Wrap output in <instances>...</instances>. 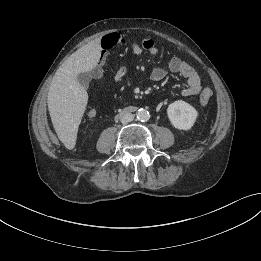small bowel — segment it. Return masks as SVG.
Wrapping results in <instances>:
<instances>
[{
    "mask_svg": "<svg viewBox=\"0 0 261 261\" xmlns=\"http://www.w3.org/2000/svg\"><path fill=\"white\" fill-rule=\"evenodd\" d=\"M115 47H123L126 51L134 55H150L154 56L158 52V47L155 41L149 37L143 38L140 43L128 40L126 37L118 33H110L104 36L101 40L102 56L101 61L93 70V76L99 78L103 74V64ZM176 73L186 80V86L182 90L184 96L197 95L201 90V81L198 73L188 63L179 57H172L166 67H156L152 70L150 78L153 81H160L169 73ZM127 73V66L121 65L115 75L114 81L119 83ZM96 115L94 109L88 112V116L93 118Z\"/></svg>",
    "mask_w": 261,
    "mask_h": 261,
    "instance_id": "small-bowel-1",
    "label": "small bowel"
}]
</instances>
